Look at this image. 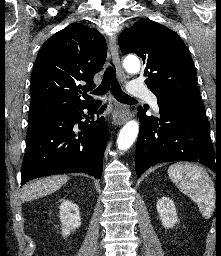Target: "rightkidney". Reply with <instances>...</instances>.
<instances>
[{"label": "right kidney", "mask_w": 221, "mask_h": 256, "mask_svg": "<svg viewBox=\"0 0 221 256\" xmlns=\"http://www.w3.org/2000/svg\"><path fill=\"white\" fill-rule=\"evenodd\" d=\"M59 217L62 223V234L64 236L70 233L81 225L79 208L76 204L63 200L60 205Z\"/></svg>", "instance_id": "right-kidney-1"}]
</instances>
